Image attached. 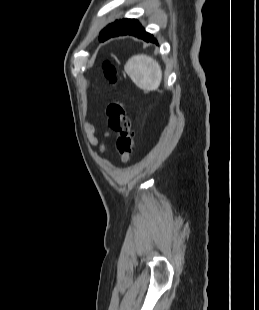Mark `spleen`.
<instances>
[{
    "label": "spleen",
    "mask_w": 259,
    "mask_h": 310,
    "mask_svg": "<svg viewBox=\"0 0 259 310\" xmlns=\"http://www.w3.org/2000/svg\"><path fill=\"white\" fill-rule=\"evenodd\" d=\"M124 69L136 86L144 91H155L161 83V67L150 56L134 55L126 62Z\"/></svg>",
    "instance_id": "1"
}]
</instances>
